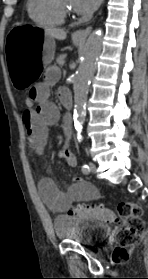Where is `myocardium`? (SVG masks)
I'll return each instance as SVG.
<instances>
[{"mask_svg":"<svg viewBox=\"0 0 148 279\" xmlns=\"http://www.w3.org/2000/svg\"><path fill=\"white\" fill-rule=\"evenodd\" d=\"M55 4L64 17H73L72 8L64 5L62 0H55Z\"/></svg>","mask_w":148,"mask_h":279,"instance_id":"1","label":"myocardium"}]
</instances>
